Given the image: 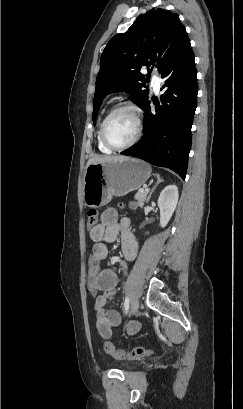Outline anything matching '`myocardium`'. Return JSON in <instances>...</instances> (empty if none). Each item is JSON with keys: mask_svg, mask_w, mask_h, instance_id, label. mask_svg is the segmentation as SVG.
Instances as JSON below:
<instances>
[{"mask_svg": "<svg viewBox=\"0 0 243 409\" xmlns=\"http://www.w3.org/2000/svg\"><path fill=\"white\" fill-rule=\"evenodd\" d=\"M120 111H129L132 113V115L134 116L135 122H136V133L129 142L123 145H115L107 137L106 126H107L108 121L116 113ZM142 131H143V122H142V116H141V111L139 107L131 102H123L115 106L104 118L101 124V127H100V136H101V140L104 143V145L107 146L109 149L114 150V151H121L123 149H126L134 145L140 139Z\"/></svg>", "mask_w": 243, "mask_h": 409, "instance_id": "obj_1", "label": "myocardium"}]
</instances>
